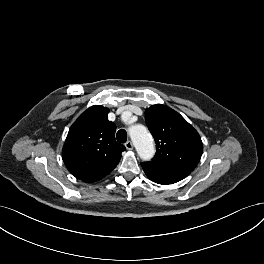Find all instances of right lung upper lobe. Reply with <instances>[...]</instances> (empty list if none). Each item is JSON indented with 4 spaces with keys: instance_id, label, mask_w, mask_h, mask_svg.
Masks as SVG:
<instances>
[{
    "instance_id": "right-lung-upper-lobe-1",
    "label": "right lung upper lobe",
    "mask_w": 264,
    "mask_h": 264,
    "mask_svg": "<svg viewBox=\"0 0 264 264\" xmlns=\"http://www.w3.org/2000/svg\"><path fill=\"white\" fill-rule=\"evenodd\" d=\"M109 109L92 106L70 127L62 150L67 169L78 179L101 180L118 164L125 146L115 140L116 126L107 118Z\"/></svg>"
}]
</instances>
